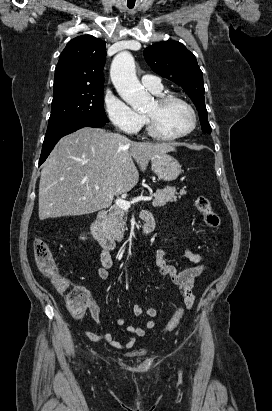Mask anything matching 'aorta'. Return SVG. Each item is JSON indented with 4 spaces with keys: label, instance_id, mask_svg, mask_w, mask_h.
Instances as JSON below:
<instances>
[{
    "label": "aorta",
    "instance_id": "762f6f07",
    "mask_svg": "<svg viewBox=\"0 0 272 411\" xmlns=\"http://www.w3.org/2000/svg\"><path fill=\"white\" fill-rule=\"evenodd\" d=\"M110 76L121 98L133 109L141 108L149 99V94L137 79L134 58L129 52L123 51L114 57Z\"/></svg>",
    "mask_w": 272,
    "mask_h": 411
}]
</instances>
